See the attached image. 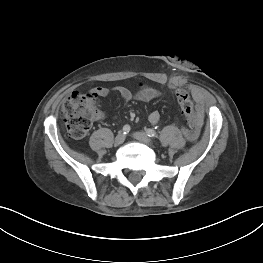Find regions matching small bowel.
I'll return each mask as SVG.
<instances>
[{"label": "small bowel", "instance_id": "small-bowel-1", "mask_svg": "<svg viewBox=\"0 0 263 263\" xmlns=\"http://www.w3.org/2000/svg\"><path fill=\"white\" fill-rule=\"evenodd\" d=\"M115 92H117L121 98L125 101H130L132 99H136L139 101H151L160 96V91L153 86L140 84L138 89L135 92H132L130 89L124 86H118L114 88ZM93 92L100 97H105L109 94L110 90L106 87H96L93 89ZM193 98L197 104L198 111V129L196 134L187 133V129H182V134H185V138L192 140L193 143H196L202 134L204 133V129L206 126L205 115L203 114V103L204 97L203 94L199 90H193ZM149 122L151 124H157L160 121V113L158 111H153L149 115Z\"/></svg>", "mask_w": 263, "mask_h": 263}]
</instances>
